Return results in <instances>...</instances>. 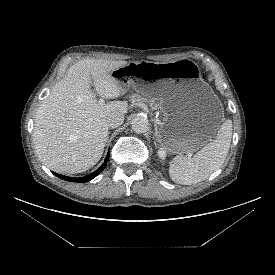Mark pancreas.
Returning a JSON list of instances; mask_svg holds the SVG:
<instances>
[{
    "instance_id": "1",
    "label": "pancreas",
    "mask_w": 275,
    "mask_h": 275,
    "mask_svg": "<svg viewBox=\"0 0 275 275\" xmlns=\"http://www.w3.org/2000/svg\"><path fill=\"white\" fill-rule=\"evenodd\" d=\"M130 100L133 102V103H137V102H145V103H148L151 107V109L153 110H156L158 108V106H160V104H158L155 99L153 98H146V97H143L139 94H133L130 96Z\"/></svg>"
}]
</instances>
